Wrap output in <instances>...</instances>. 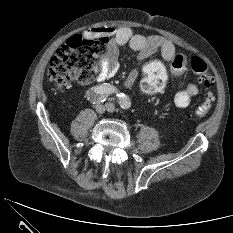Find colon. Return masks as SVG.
Returning a JSON list of instances; mask_svg holds the SVG:
<instances>
[{
	"mask_svg": "<svg viewBox=\"0 0 233 233\" xmlns=\"http://www.w3.org/2000/svg\"><path fill=\"white\" fill-rule=\"evenodd\" d=\"M109 47L105 36L88 38L75 35L57 50L49 63L47 78L57 89L64 90L73 82L87 83L96 73L98 61L104 57ZM167 68L162 62L150 60L143 66L141 89L145 94H156L165 86L168 69L174 75H181L188 67L197 75L198 82L209 89L214 77L206 62L200 57L188 58L184 54H175ZM213 95L207 93L203 102L194 111L195 117L204 116L211 108Z\"/></svg>",
	"mask_w": 233,
	"mask_h": 233,
	"instance_id": "1",
	"label": "colon"
}]
</instances>
